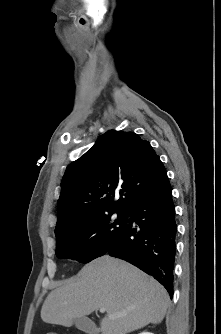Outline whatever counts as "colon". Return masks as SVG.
<instances>
[{
    "label": "colon",
    "mask_w": 221,
    "mask_h": 334,
    "mask_svg": "<svg viewBox=\"0 0 221 334\" xmlns=\"http://www.w3.org/2000/svg\"><path fill=\"white\" fill-rule=\"evenodd\" d=\"M47 334H55V333H47Z\"/></svg>",
    "instance_id": "obj_1"
}]
</instances>
